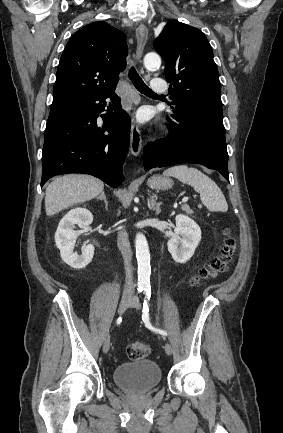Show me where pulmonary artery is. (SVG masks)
<instances>
[{"label": "pulmonary artery", "mask_w": 283, "mask_h": 433, "mask_svg": "<svg viewBox=\"0 0 283 433\" xmlns=\"http://www.w3.org/2000/svg\"><path fill=\"white\" fill-rule=\"evenodd\" d=\"M150 88L152 92H164L166 89L164 78H154Z\"/></svg>", "instance_id": "obj_1"}]
</instances>
